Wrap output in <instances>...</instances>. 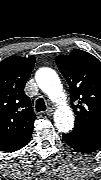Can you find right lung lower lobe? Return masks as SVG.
Wrapping results in <instances>:
<instances>
[{
	"label": "right lung lower lobe",
	"instance_id": "1",
	"mask_svg": "<svg viewBox=\"0 0 101 180\" xmlns=\"http://www.w3.org/2000/svg\"><path fill=\"white\" fill-rule=\"evenodd\" d=\"M30 138H31V136L23 144H21L18 149H20V148L24 147L25 145H27L28 142L30 141Z\"/></svg>",
	"mask_w": 101,
	"mask_h": 180
}]
</instances>
